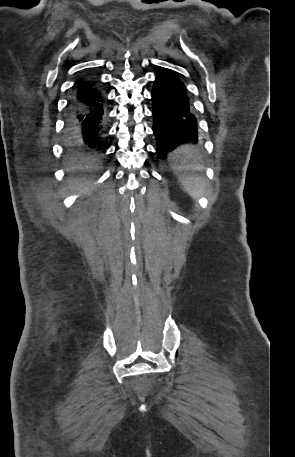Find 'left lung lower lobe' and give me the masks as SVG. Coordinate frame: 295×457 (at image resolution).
Returning <instances> with one entry per match:
<instances>
[{"label":"left lung lower lobe","instance_id":"left-lung-lower-lobe-1","mask_svg":"<svg viewBox=\"0 0 295 457\" xmlns=\"http://www.w3.org/2000/svg\"><path fill=\"white\" fill-rule=\"evenodd\" d=\"M151 96L159 157L165 159L177 147L197 143V120L186 87L173 70L166 68L156 77Z\"/></svg>","mask_w":295,"mask_h":457}]
</instances>
